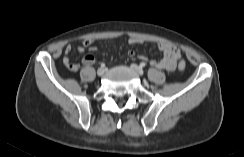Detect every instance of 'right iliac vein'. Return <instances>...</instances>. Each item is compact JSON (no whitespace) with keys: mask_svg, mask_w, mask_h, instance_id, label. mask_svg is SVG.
<instances>
[{"mask_svg":"<svg viewBox=\"0 0 244 157\" xmlns=\"http://www.w3.org/2000/svg\"><path fill=\"white\" fill-rule=\"evenodd\" d=\"M104 73H105V69L102 68V67L97 70V75L98 76H102Z\"/></svg>","mask_w":244,"mask_h":157,"instance_id":"obj_1","label":"right iliac vein"}]
</instances>
